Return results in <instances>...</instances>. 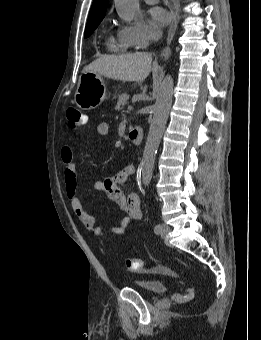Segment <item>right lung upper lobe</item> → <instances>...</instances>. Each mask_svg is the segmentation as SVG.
I'll list each match as a JSON object with an SVG mask.
<instances>
[{
  "label": "right lung upper lobe",
  "instance_id": "obj_1",
  "mask_svg": "<svg viewBox=\"0 0 261 340\" xmlns=\"http://www.w3.org/2000/svg\"><path fill=\"white\" fill-rule=\"evenodd\" d=\"M106 8L107 0H94L90 10L87 24L99 19H103L106 13Z\"/></svg>",
  "mask_w": 261,
  "mask_h": 340
}]
</instances>
